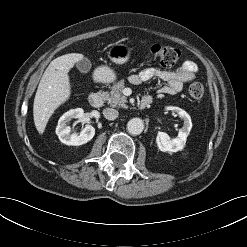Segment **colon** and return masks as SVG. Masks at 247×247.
Returning a JSON list of instances; mask_svg holds the SVG:
<instances>
[{
	"instance_id": "colon-1",
	"label": "colon",
	"mask_w": 247,
	"mask_h": 247,
	"mask_svg": "<svg viewBox=\"0 0 247 247\" xmlns=\"http://www.w3.org/2000/svg\"><path fill=\"white\" fill-rule=\"evenodd\" d=\"M148 55L158 61L164 67L176 65L181 60V52L179 49L156 44L148 50ZM189 95L194 100H200L204 96V87L199 82H193L188 89Z\"/></svg>"
}]
</instances>
